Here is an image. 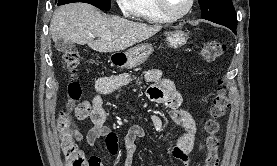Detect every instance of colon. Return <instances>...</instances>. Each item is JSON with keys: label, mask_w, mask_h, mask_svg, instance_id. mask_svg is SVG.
<instances>
[{"label": "colon", "mask_w": 277, "mask_h": 166, "mask_svg": "<svg viewBox=\"0 0 277 166\" xmlns=\"http://www.w3.org/2000/svg\"><path fill=\"white\" fill-rule=\"evenodd\" d=\"M226 51V45L218 40L205 42L200 48V57L203 61L211 62L221 57ZM67 70L74 76L79 66V54L76 50H70L64 55ZM82 95V88L77 80L69 82L66 88L67 108L62 111L57 120V130L60 137V145L65 159V166H92L94 163L87 160L77 144L78 131L71 116L75 103ZM229 99L226 90L220 86L217 88L209 109V116L204 123L206 132L205 148L206 156L204 166H218L220 140L217 135L220 119L226 113Z\"/></svg>", "instance_id": "5ec220e1"}]
</instances>
